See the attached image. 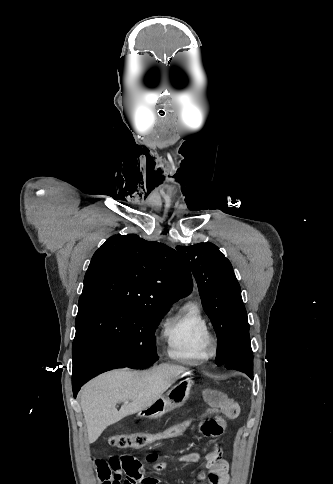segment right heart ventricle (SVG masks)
Masks as SVG:
<instances>
[{"label": "right heart ventricle", "instance_id": "obj_1", "mask_svg": "<svg viewBox=\"0 0 333 484\" xmlns=\"http://www.w3.org/2000/svg\"><path fill=\"white\" fill-rule=\"evenodd\" d=\"M209 331L208 321L194 301L184 303L164 321L162 336L167 355L188 364H200L208 359L203 339Z\"/></svg>", "mask_w": 333, "mask_h": 484}]
</instances>
